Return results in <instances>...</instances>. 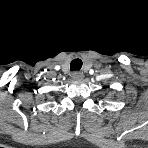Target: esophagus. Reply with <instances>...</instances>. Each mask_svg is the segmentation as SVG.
I'll list each match as a JSON object with an SVG mask.
<instances>
[{"label":"esophagus","instance_id":"1","mask_svg":"<svg viewBox=\"0 0 148 148\" xmlns=\"http://www.w3.org/2000/svg\"><path fill=\"white\" fill-rule=\"evenodd\" d=\"M72 78L74 80L80 81V80H83L84 75L81 72L75 71V72L72 73Z\"/></svg>","mask_w":148,"mask_h":148}]
</instances>
